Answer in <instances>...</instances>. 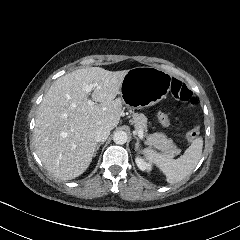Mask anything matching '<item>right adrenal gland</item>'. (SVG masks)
<instances>
[{"label": "right adrenal gland", "mask_w": 240, "mask_h": 240, "mask_svg": "<svg viewBox=\"0 0 240 240\" xmlns=\"http://www.w3.org/2000/svg\"><path fill=\"white\" fill-rule=\"evenodd\" d=\"M102 144H103V142L99 143V144L96 146V149H95L94 154H93V156H92L93 158L96 156L97 151H98L99 147H100Z\"/></svg>", "instance_id": "1"}]
</instances>
